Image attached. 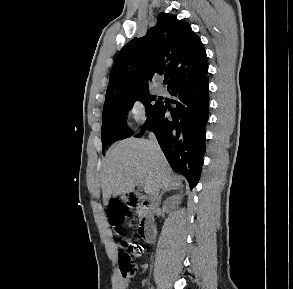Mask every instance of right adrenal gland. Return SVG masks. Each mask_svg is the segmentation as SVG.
Wrapping results in <instances>:
<instances>
[{
  "label": "right adrenal gland",
  "mask_w": 293,
  "mask_h": 289,
  "mask_svg": "<svg viewBox=\"0 0 293 289\" xmlns=\"http://www.w3.org/2000/svg\"><path fill=\"white\" fill-rule=\"evenodd\" d=\"M179 189V187H176V186H173V187H169V188H166L159 196V202L161 201L162 199V196L166 193V192H169L171 190H177Z\"/></svg>",
  "instance_id": "obj_1"
}]
</instances>
